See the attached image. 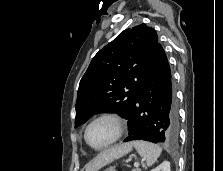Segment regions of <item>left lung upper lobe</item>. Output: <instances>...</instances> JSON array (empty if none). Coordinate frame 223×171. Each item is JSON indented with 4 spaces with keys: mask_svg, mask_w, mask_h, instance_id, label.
Listing matches in <instances>:
<instances>
[{
    "mask_svg": "<svg viewBox=\"0 0 223 171\" xmlns=\"http://www.w3.org/2000/svg\"><path fill=\"white\" fill-rule=\"evenodd\" d=\"M158 44L156 31L140 24L101 49L80 81L75 127L100 112L128 119Z\"/></svg>",
    "mask_w": 223,
    "mask_h": 171,
    "instance_id": "obj_1",
    "label": "left lung upper lobe"
}]
</instances>
